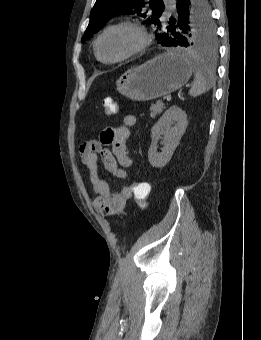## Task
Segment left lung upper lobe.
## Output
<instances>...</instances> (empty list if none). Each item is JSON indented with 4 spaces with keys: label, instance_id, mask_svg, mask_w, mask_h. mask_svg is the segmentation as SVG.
<instances>
[{
    "label": "left lung upper lobe",
    "instance_id": "1",
    "mask_svg": "<svg viewBox=\"0 0 261 340\" xmlns=\"http://www.w3.org/2000/svg\"><path fill=\"white\" fill-rule=\"evenodd\" d=\"M165 9L163 0H97L90 13L89 25L82 43L99 31L104 24L118 14L147 17L144 23L158 26L155 31L157 43L164 45L165 38L175 37L177 46L214 53L217 48L216 31L207 0H192L187 15L179 23L162 21ZM163 27V29H162Z\"/></svg>",
    "mask_w": 261,
    "mask_h": 340
}]
</instances>
